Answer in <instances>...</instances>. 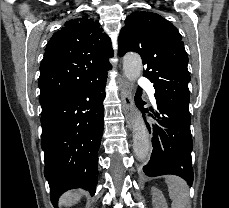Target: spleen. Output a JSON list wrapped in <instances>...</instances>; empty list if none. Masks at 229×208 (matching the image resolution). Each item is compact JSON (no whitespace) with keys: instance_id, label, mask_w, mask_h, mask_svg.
<instances>
[{"instance_id":"1","label":"spleen","mask_w":229,"mask_h":208,"mask_svg":"<svg viewBox=\"0 0 229 208\" xmlns=\"http://www.w3.org/2000/svg\"><path fill=\"white\" fill-rule=\"evenodd\" d=\"M165 182L168 186L170 200H173L171 208H190L189 188L185 180L178 176H165Z\"/></svg>"}]
</instances>
